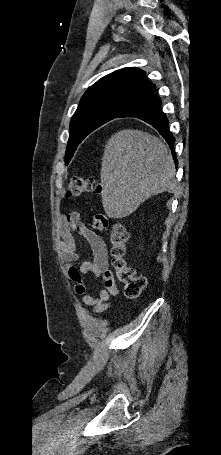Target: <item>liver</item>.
Masks as SVG:
<instances>
[{
	"label": "liver",
	"mask_w": 221,
	"mask_h": 455,
	"mask_svg": "<svg viewBox=\"0 0 221 455\" xmlns=\"http://www.w3.org/2000/svg\"><path fill=\"white\" fill-rule=\"evenodd\" d=\"M175 173L163 141L140 130L118 131L107 141L102 158L105 213L111 218L129 216L151 196L173 190Z\"/></svg>",
	"instance_id": "1"
}]
</instances>
